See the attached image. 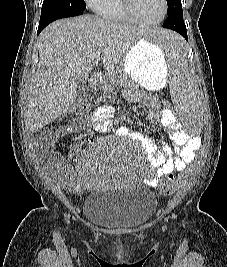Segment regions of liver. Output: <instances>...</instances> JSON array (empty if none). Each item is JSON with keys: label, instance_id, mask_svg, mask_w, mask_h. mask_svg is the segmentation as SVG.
Returning <instances> with one entry per match:
<instances>
[{"label": "liver", "instance_id": "liver-1", "mask_svg": "<svg viewBox=\"0 0 227 267\" xmlns=\"http://www.w3.org/2000/svg\"><path fill=\"white\" fill-rule=\"evenodd\" d=\"M148 30L93 15L61 19L38 38L39 62L27 94V124L32 132L65 114L77 99V80L88 79L92 62L111 70Z\"/></svg>", "mask_w": 227, "mask_h": 267}]
</instances>
